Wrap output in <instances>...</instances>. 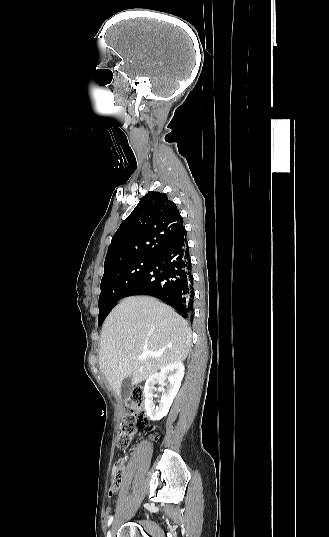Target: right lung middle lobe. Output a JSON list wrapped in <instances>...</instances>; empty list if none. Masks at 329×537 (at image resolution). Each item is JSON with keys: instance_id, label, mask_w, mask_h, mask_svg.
<instances>
[{"instance_id": "right-lung-middle-lobe-1", "label": "right lung middle lobe", "mask_w": 329, "mask_h": 537, "mask_svg": "<svg viewBox=\"0 0 329 537\" xmlns=\"http://www.w3.org/2000/svg\"><path fill=\"white\" fill-rule=\"evenodd\" d=\"M152 258L136 259L122 265L105 269L101 280L99 296L98 325L100 326L111 308L125 297L130 288L139 280L150 265Z\"/></svg>"}]
</instances>
